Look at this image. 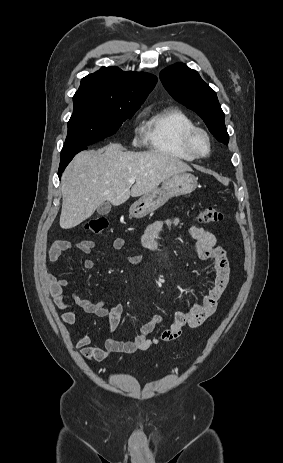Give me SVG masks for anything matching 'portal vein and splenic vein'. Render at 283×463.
Returning <instances> with one entry per match:
<instances>
[{"instance_id":"18ae733b","label":"portal vein and splenic vein","mask_w":283,"mask_h":463,"mask_svg":"<svg viewBox=\"0 0 283 463\" xmlns=\"http://www.w3.org/2000/svg\"><path fill=\"white\" fill-rule=\"evenodd\" d=\"M129 183H130V184H134V183H135V179H134V178H130V179H129Z\"/></svg>"}]
</instances>
